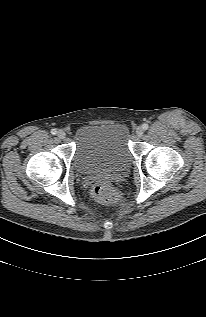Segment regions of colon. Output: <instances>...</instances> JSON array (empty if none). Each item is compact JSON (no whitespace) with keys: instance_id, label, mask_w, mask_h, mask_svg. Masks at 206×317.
Here are the masks:
<instances>
[{"instance_id":"colon-1","label":"colon","mask_w":206,"mask_h":317,"mask_svg":"<svg viewBox=\"0 0 206 317\" xmlns=\"http://www.w3.org/2000/svg\"><path fill=\"white\" fill-rule=\"evenodd\" d=\"M93 197L101 203H115L119 195L112 184L106 180L97 181L91 189Z\"/></svg>"}]
</instances>
